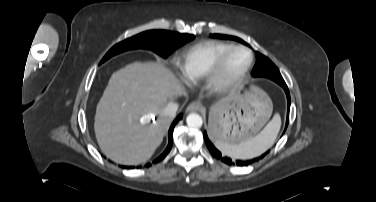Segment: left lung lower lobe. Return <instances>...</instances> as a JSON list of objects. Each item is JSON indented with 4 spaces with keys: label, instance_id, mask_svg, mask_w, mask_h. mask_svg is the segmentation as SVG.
Here are the masks:
<instances>
[{
    "label": "left lung lower lobe",
    "instance_id": "obj_1",
    "mask_svg": "<svg viewBox=\"0 0 376 202\" xmlns=\"http://www.w3.org/2000/svg\"><path fill=\"white\" fill-rule=\"evenodd\" d=\"M280 86L283 87V89L285 90V93H286V96H287V102H288V106H287V120H286V126H285V130L288 126V122H289V110H290V93H289V90H288V87L286 85V83H282V84H279ZM284 130V132H285ZM204 140H205V143H206V146L207 148L209 149L210 153L217 159H221L224 163L228 164V165H232V164H236L238 166H248L254 162H257L259 160H261L262 158H264L270 150H268L266 153L262 154L260 157H256L254 159H251V160H246V161H241V160H237L236 163L232 162V160L228 157H222L221 153L214 147V145L210 142L208 136H207V133L206 131L204 132Z\"/></svg>",
    "mask_w": 376,
    "mask_h": 202
}]
</instances>
